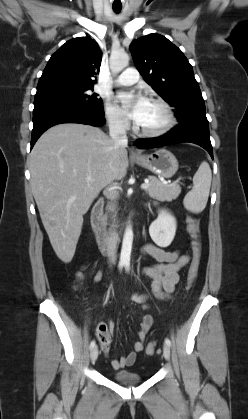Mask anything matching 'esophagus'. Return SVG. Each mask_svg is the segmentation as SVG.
I'll use <instances>...</instances> for the list:
<instances>
[{"instance_id": "obj_1", "label": "esophagus", "mask_w": 248, "mask_h": 419, "mask_svg": "<svg viewBox=\"0 0 248 419\" xmlns=\"http://www.w3.org/2000/svg\"><path fill=\"white\" fill-rule=\"evenodd\" d=\"M130 155H131V156H139V155H140V153H139L138 151L131 150Z\"/></svg>"}]
</instances>
